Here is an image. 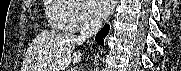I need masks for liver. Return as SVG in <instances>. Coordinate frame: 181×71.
Masks as SVG:
<instances>
[{
  "mask_svg": "<svg viewBox=\"0 0 181 71\" xmlns=\"http://www.w3.org/2000/svg\"><path fill=\"white\" fill-rule=\"evenodd\" d=\"M77 44L79 42L72 34L42 32L30 45L22 71H62L71 62L77 64L82 56L81 52H74Z\"/></svg>",
  "mask_w": 181,
  "mask_h": 71,
  "instance_id": "6515ba94",
  "label": "liver"
}]
</instances>
